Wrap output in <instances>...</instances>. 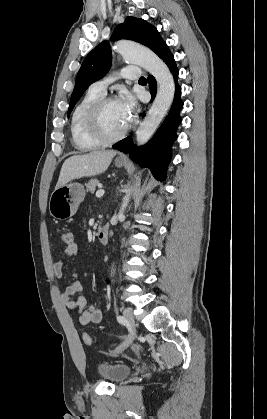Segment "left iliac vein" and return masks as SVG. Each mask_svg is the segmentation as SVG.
I'll use <instances>...</instances> for the list:
<instances>
[{"instance_id": "1", "label": "left iliac vein", "mask_w": 267, "mask_h": 419, "mask_svg": "<svg viewBox=\"0 0 267 419\" xmlns=\"http://www.w3.org/2000/svg\"><path fill=\"white\" fill-rule=\"evenodd\" d=\"M123 315H124V318L126 319L127 323L130 326L131 333H130V336L128 337V339L125 341V343L122 344L120 347H118L116 350H114L113 354H118L119 352H121L125 348H127L132 343V341L134 339V335L136 333V324H135V319H134L132 311L130 309L126 308L123 311Z\"/></svg>"}]
</instances>
